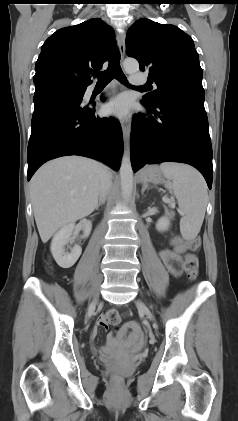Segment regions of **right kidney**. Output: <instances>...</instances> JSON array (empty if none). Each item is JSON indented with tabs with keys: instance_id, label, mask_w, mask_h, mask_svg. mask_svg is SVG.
Masks as SVG:
<instances>
[{
	"instance_id": "1",
	"label": "right kidney",
	"mask_w": 238,
	"mask_h": 421,
	"mask_svg": "<svg viewBox=\"0 0 238 421\" xmlns=\"http://www.w3.org/2000/svg\"><path fill=\"white\" fill-rule=\"evenodd\" d=\"M75 224L70 223L62 227L53 237L51 242V253L57 262V264L62 268L72 267L78 258L81 255L82 249L79 245H75L71 248V252H67L65 246L70 241V236L74 231ZM92 224L91 222H86L84 225V237H88L91 232Z\"/></svg>"
}]
</instances>
